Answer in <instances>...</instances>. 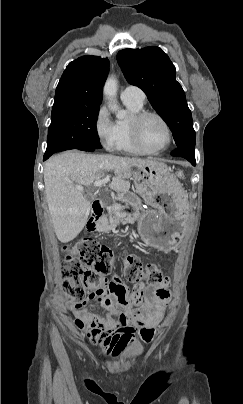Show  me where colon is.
Returning a JSON list of instances; mask_svg holds the SVG:
<instances>
[{"label": "colon", "mask_w": 243, "mask_h": 404, "mask_svg": "<svg viewBox=\"0 0 243 404\" xmlns=\"http://www.w3.org/2000/svg\"><path fill=\"white\" fill-rule=\"evenodd\" d=\"M125 276L129 281H148L160 283L164 280L155 264L143 266L136 256H128L123 261ZM113 268L111 250L93 239L78 241L65 258L62 269L63 285L66 295L75 302L84 299L87 289L100 283V276L108 274ZM143 293L134 291L124 303H141Z\"/></svg>", "instance_id": "obj_1"}]
</instances>
